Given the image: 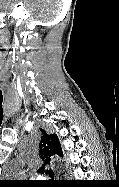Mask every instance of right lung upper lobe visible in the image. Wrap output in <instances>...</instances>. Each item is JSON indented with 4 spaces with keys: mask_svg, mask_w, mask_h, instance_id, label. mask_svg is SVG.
I'll use <instances>...</instances> for the list:
<instances>
[{
    "mask_svg": "<svg viewBox=\"0 0 119 187\" xmlns=\"http://www.w3.org/2000/svg\"><path fill=\"white\" fill-rule=\"evenodd\" d=\"M42 137L39 143V153L41 159L44 161V165L41 168V172L46 164H50L51 157L54 155H62L61 146L58 137L55 134L48 135L45 130L41 129ZM52 175V171H49Z\"/></svg>",
    "mask_w": 119,
    "mask_h": 187,
    "instance_id": "cb5924a9",
    "label": "right lung upper lobe"
}]
</instances>
